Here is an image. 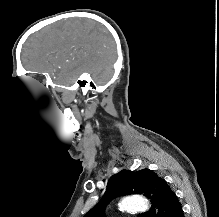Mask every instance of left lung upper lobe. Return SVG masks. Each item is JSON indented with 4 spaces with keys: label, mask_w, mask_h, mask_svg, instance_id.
<instances>
[{
    "label": "left lung upper lobe",
    "mask_w": 219,
    "mask_h": 217,
    "mask_svg": "<svg viewBox=\"0 0 219 217\" xmlns=\"http://www.w3.org/2000/svg\"><path fill=\"white\" fill-rule=\"evenodd\" d=\"M128 194H143L152 203L151 209L139 217H172L180 205L170 186L152 170H122L111 177L103 198L84 217H105L106 205L114 198Z\"/></svg>",
    "instance_id": "1"
}]
</instances>
